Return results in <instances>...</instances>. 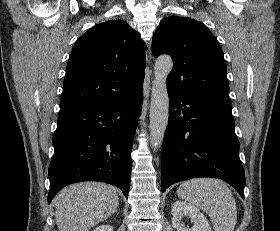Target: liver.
<instances>
[{"label": "liver", "instance_id": "obj_1", "mask_svg": "<svg viewBox=\"0 0 280 231\" xmlns=\"http://www.w3.org/2000/svg\"><path fill=\"white\" fill-rule=\"evenodd\" d=\"M53 205L59 231H89L114 213L119 197L113 185L82 181L64 187Z\"/></svg>", "mask_w": 280, "mask_h": 231}]
</instances>
